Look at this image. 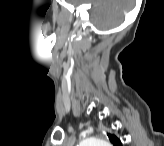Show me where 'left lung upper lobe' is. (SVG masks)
Returning <instances> with one entry per match:
<instances>
[{"label":"left lung upper lobe","instance_id":"1","mask_svg":"<svg viewBox=\"0 0 164 146\" xmlns=\"http://www.w3.org/2000/svg\"><path fill=\"white\" fill-rule=\"evenodd\" d=\"M107 136L114 146H121L120 140L115 135L108 133Z\"/></svg>","mask_w":164,"mask_h":146}]
</instances>
